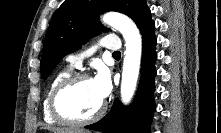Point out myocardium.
Returning a JSON list of instances; mask_svg holds the SVG:
<instances>
[{"label":"myocardium","instance_id":"f54148a6","mask_svg":"<svg viewBox=\"0 0 221 133\" xmlns=\"http://www.w3.org/2000/svg\"><path fill=\"white\" fill-rule=\"evenodd\" d=\"M83 80H91V77L85 73H75L66 77L62 81H60L55 88L53 89L50 98H49V109L52 116L57 119L59 122L72 126H83L90 124L98 119H100L105 111H106V103L102 102L98 110L92 115L82 118L76 119L64 114L59 107V99L61 95L67 91L73 85L83 81Z\"/></svg>","mask_w":221,"mask_h":133}]
</instances>
